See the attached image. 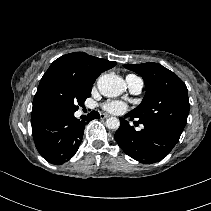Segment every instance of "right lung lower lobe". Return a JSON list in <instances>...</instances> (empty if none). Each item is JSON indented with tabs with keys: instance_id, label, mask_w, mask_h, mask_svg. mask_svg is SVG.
<instances>
[{
	"instance_id": "1",
	"label": "right lung lower lobe",
	"mask_w": 211,
	"mask_h": 211,
	"mask_svg": "<svg viewBox=\"0 0 211 211\" xmlns=\"http://www.w3.org/2000/svg\"><path fill=\"white\" fill-rule=\"evenodd\" d=\"M100 118L91 111L87 121ZM86 121L74 117V113L49 116L32 122V133L36 148L49 163L60 165L72 158L82 141Z\"/></svg>"
}]
</instances>
